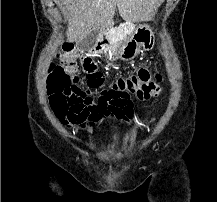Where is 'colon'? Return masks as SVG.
<instances>
[{"mask_svg":"<svg viewBox=\"0 0 217 202\" xmlns=\"http://www.w3.org/2000/svg\"><path fill=\"white\" fill-rule=\"evenodd\" d=\"M77 55H82L78 47H65L63 55H53V60H59V67H50L47 75V80H51L47 95L52 110L57 111L54 116L69 117L63 120V125H80L88 120L128 126L132 122L131 93L140 101L162 93V88L155 83L158 79H153L146 69H135L131 77L119 79L100 91L82 88L79 82H73L74 78L82 77L78 73ZM141 120L144 124L148 122L145 118Z\"/></svg>","mask_w":217,"mask_h":202,"instance_id":"colon-1","label":"colon"}]
</instances>
